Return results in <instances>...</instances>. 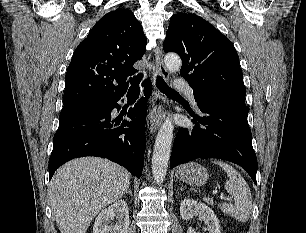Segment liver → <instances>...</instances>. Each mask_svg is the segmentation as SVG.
<instances>
[{
    "mask_svg": "<svg viewBox=\"0 0 306 233\" xmlns=\"http://www.w3.org/2000/svg\"><path fill=\"white\" fill-rule=\"evenodd\" d=\"M130 186L129 172L107 159L84 157L64 164L49 188L53 216L61 233H86L106 206Z\"/></svg>",
    "mask_w": 306,
    "mask_h": 233,
    "instance_id": "6515ba94",
    "label": "liver"
}]
</instances>
